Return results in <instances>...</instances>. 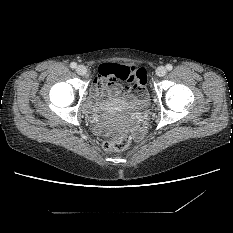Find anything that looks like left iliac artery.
I'll use <instances>...</instances> for the list:
<instances>
[{
    "instance_id": "left-iliac-artery-1",
    "label": "left iliac artery",
    "mask_w": 233,
    "mask_h": 233,
    "mask_svg": "<svg viewBox=\"0 0 233 233\" xmlns=\"http://www.w3.org/2000/svg\"><path fill=\"white\" fill-rule=\"evenodd\" d=\"M166 69L169 70V71H171L173 69V66L171 64H167L166 65Z\"/></svg>"
}]
</instances>
